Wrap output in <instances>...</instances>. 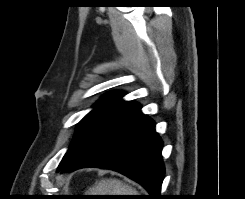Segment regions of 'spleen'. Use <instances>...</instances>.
<instances>
[{
  "label": "spleen",
  "mask_w": 245,
  "mask_h": 199,
  "mask_svg": "<svg viewBox=\"0 0 245 199\" xmlns=\"http://www.w3.org/2000/svg\"><path fill=\"white\" fill-rule=\"evenodd\" d=\"M88 195H139L129 185L117 179L101 180L89 189Z\"/></svg>",
  "instance_id": "obj_1"
}]
</instances>
